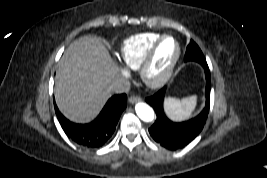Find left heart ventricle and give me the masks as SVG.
<instances>
[{"label": "left heart ventricle", "instance_id": "obj_1", "mask_svg": "<svg viewBox=\"0 0 267 178\" xmlns=\"http://www.w3.org/2000/svg\"><path fill=\"white\" fill-rule=\"evenodd\" d=\"M176 51L177 47L172 39H166L162 42L148 70V75L151 79H157L162 76L173 60Z\"/></svg>", "mask_w": 267, "mask_h": 178}]
</instances>
